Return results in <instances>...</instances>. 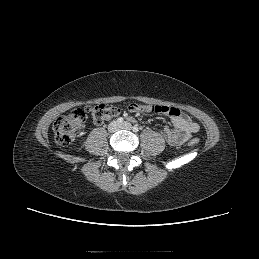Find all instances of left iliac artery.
Here are the masks:
<instances>
[{"mask_svg": "<svg viewBox=\"0 0 259 259\" xmlns=\"http://www.w3.org/2000/svg\"><path fill=\"white\" fill-rule=\"evenodd\" d=\"M133 131H134V132H138V131H139V128H138L137 125H135V126L133 127Z\"/></svg>", "mask_w": 259, "mask_h": 259, "instance_id": "obj_1", "label": "left iliac artery"}]
</instances>
